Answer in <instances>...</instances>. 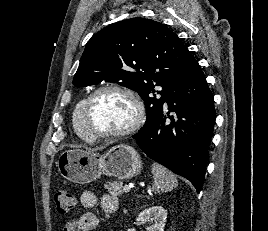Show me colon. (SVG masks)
<instances>
[{
  "instance_id": "colon-1",
  "label": "colon",
  "mask_w": 268,
  "mask_h": 231,
  "mask_svg": "<svg viewBox=\"0 0 268 231\" xmlns=\"http://www.w3.org/2000/svg\"><path fill=\"white\" fill-rule=\"evenodd\" d=\"M55 206L58 213L66 214L76 205V197L68 191H58L54 196Z\"/></svg>"
}]
</instances>
